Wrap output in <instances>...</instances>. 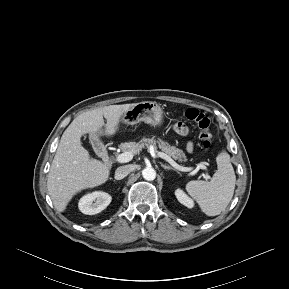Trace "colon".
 Masks as SVG:
<instances>
[{
    "mask_svg": "<svg viewBox=\"0 0 289 289\" xmlns=\"http://www.w3.org/2000/svg\"><path fill=\"white\" fill-rule=\"evenodd\" d=\"M187 120L193 122L199 129V138L202 146L209 149L212 144L211 120L197 109L189 108L184 111Z\"/></svg>",
    "mask_w": 289,
    "mask_h": 289,
    "instance_id": "5ec220e1",
    "label": "colon"
}]
</instances>
